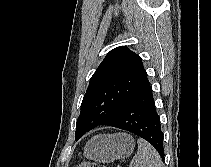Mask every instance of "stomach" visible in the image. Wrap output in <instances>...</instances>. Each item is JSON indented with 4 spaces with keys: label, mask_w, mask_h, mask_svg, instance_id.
Returning a JSON list of instances; mask_svg holds the SVG:
<instances>
[{
    "label": "stomach",
    "mask_w": 211,
    "mask_h": 167,
    "mask_svg": "<svg viewBox=\"0 0 211 167\" xmlns=\"http://www.w3.org/2000/svg\"><path fill=\"white\" fill-rule=\"evenodd\" d=\"M134 147V139L128 134H100L87 142L84 155L90 160L109 163L127 158Z\"/></svg>",
    "instance_id": "1"
}]
</instances>
